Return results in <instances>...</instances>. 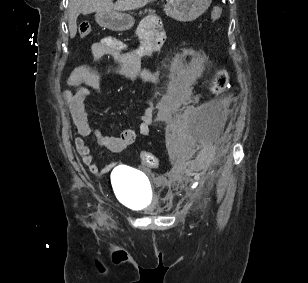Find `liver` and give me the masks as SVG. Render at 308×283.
<instances>
[{
    "label": "liver",
    "instance_id": "obj_1",
    "mask_svg": "<svg viewBox=\"0 0 308 283\" xmlns=\"http://www.w3.org/2000/svg\"><path fill=\"white\" fill-rule=\"evenodd\" d=\"M155 0H70L68 27L70 37L74 38L77 33V18L80 14L90 13H113L119 11L134 10L144 7Z\"/></svg>",
    "mask_w": 308,
    "mask_h": 283
}]
</instances>
